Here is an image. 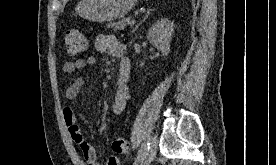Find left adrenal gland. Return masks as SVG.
Segmentation results:
<instances>
[{
	"label": "left adrenal gland",
	"mask_w": 276,
	"mask_h": 165,
	"mask_svg": "<svg viewBox=\"0 0 276 165\" xmlns=\"http://www.w3.org/2000/svg\"><path fill=\"white\" fill-rule=\"evenodd\" d=\"M151 11H152V9H148L145 17L135 26V28L133 29L132 33L135 32L138 29L139 25L148 18V16L150 15Z\"/></svg>",
	"instance_id": "a2214340"
}]
</instances>
